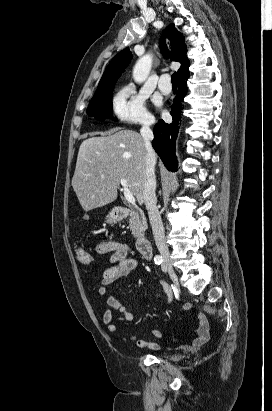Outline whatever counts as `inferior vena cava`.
Wrapping results in <instances>:
<instances>
[{
  "instance_id": "inferior-vena-cava-1",
  "label": "inferior vena cava",
  "mask_w": 272,
  "mask_h": 411,
  "mask_svg": "<svg viewBox=\"0 0 272 411\" xmlns=\"http://www.w3.org/2000/svg\"><path fill=\"white\" fill-rule=\"evenodd\" d=\"M155 123L153 117L145 118L142 122L140 134L143 138L146 148L145 156V173H144V190L143 200L148 211L150 224L153 231L156 246L164 262L169 261V250L165 240L164 227L162 224L159 210L156 206V177H155V163L156 157L153 151L151 141L153 140V131L150 126Z\"/></svg>"
}]
</instances>
